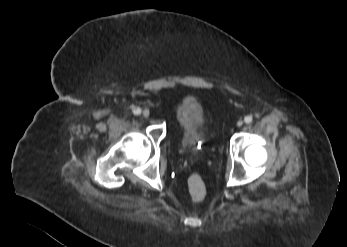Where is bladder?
<instances>
[{
  "instance_id": "1",
  "label": "bladder",
  "mask_w": 347,
  "mask_h": 247,
  "mask_svg": "<svg viewBox=\"0 0 347 247\" xmlns=\"http://www.w3.org/2000/svg\"><path fill=\"white\" fill-rule=\"evenodd\" d=\"M178 121L181 127L180 146L183 151L195 150L198 143L207 138V120L202 115L198 104L190 97L185 98L178 107Z\"/></svg>"
}]
</instances>
